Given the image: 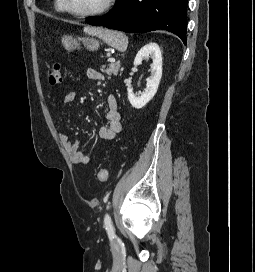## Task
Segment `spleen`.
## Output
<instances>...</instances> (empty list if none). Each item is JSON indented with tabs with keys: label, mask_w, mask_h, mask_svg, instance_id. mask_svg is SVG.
I'll return each instance as SVG.
<instances>
[{
	"label": "spleen",
	"mask_w": 255,
	"mask_h": 272,
	"mask_svg": "<svg viewBox=\"0 0 255 272\" xmlns=\"http://www.w3.org/2000/svg\"><path fill=\"white\" fill-rule=\"evenodd\" d=\"M84 32L97 36L119 51H125L127 49L128 38L122 32L94 27H85Z\"/></svg>",
	"instance_id": "spleen-1"
}]
</instances>
